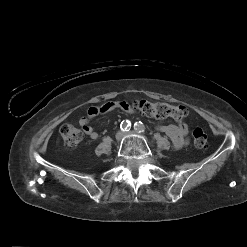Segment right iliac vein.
I'll list each match as a JSON object with an SVG mask.
<instances>
[{
    "mask_svg": "<svg viewBox=\"0 0 247 247\" xmlns=\"http://www.w3.org/2000/svg\"><path fill=\"white\" fill-rule=\"evenodd\" d=\"M115 137H116L117 141H120L122 139V137H123V133L119 131V132L116 133Z\"/></svg>",
    "mask_w": 247,
    "mask_h": 247,
    "instance_id": "right-iliac-vein-1",
    "label": "right iliac vein"
}]
</instances>
